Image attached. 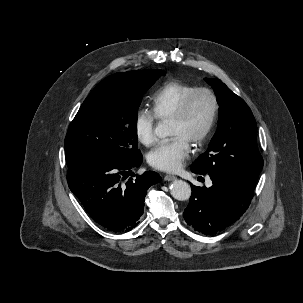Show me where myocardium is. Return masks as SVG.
Listing matches in <instances>:
<instances>
[{"instance_id":"obj_1","label":"myocardium","mask_w":303,"mask_h":303,"mask_svg":"<svg viewBox=\"0 0 303 303\" xmlns=\"http://www.w3.org/2000/svg\"><path fill=\"white\" fill-rule=\"evenodd\" d=\"M201 93L207 94L210 97V99L212 101V110H211L210 117L208 119V122H207L204 130L194 141L195 146H200L207 140V138L209 137V135L215 125V122L218 117V112H219V101H218L216 94L207 87H199V88L194 89L184 98V100L180 104L177 111L170 118L171 121L184 120L188 114V111L190 109V106H191L193 100L195 99V97L197 95H199Z\"/></svg>"}]
</instances>
